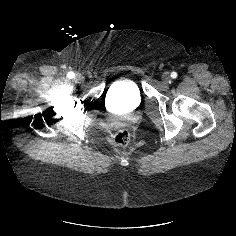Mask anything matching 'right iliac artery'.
Masks as SVG:
<instances>
[{"instance_id":"82829eb1","label":"right iliac artery","mask_w":236,"mask_h":236,"mask_svg":"<svg viewBox=\"0 0 236 236\" xmlns=\"http://www.w3.org/2000/svg\"><path fill=\"white\" fill-rule=\"evenodd\" d=\"M68 77H69V78H73V77H74V73H73V72H69V73H68Z\"/></svg>"}]
</instances>
